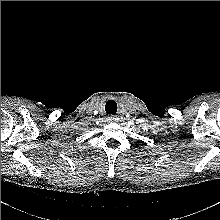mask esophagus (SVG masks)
Segmentation results:
<instances>
[{
    "mask_svg": "<svg viewBox=\"0 0 220 220\" xmlns=\"http://www.w3.org/2000/svg\"><path fill=\"white\" fill-rule=\"evenodd\" d=\"M108 120H109V122H116V121H118V118L116 116H110L108 118Z\"/></svg>",
    "mask_w": 220,
    "mask_h": 220,
    "instance_id": "obj_1",
    "label": "esophagus"
}]
</instances>
